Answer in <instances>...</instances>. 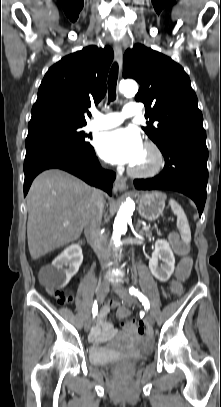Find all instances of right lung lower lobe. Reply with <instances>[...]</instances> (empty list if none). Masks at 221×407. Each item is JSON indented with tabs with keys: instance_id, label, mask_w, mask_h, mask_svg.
Masks as SVG:
<instances>
[{
	"instance_id": "1",
	"label": "right lung lower lobe",
	"mask_w": 221,
	"mask_h": 407,
	"mask_svg": "<svg viewBox=\"0 0 221 407\" xmlns=\"http://www.w3.org/2000/svg\"><path fill=\"white\" fill-rule=\"evenodd\" d=\"M51 168L65 170L88 184L112 194V185L116 174L102 170L92 148L79 151L75 147L55 140H38L26 145L24 161V196L33 179L42 171Z\"/></svg>"
}]
</instances>
